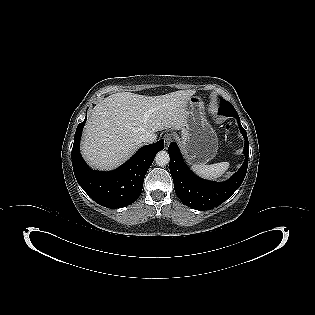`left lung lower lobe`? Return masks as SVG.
Segmentation results:
<instances>
[{
    "instance_id": "0a47b994",
    "label": "left lung lower lobe",
    "mask_w": 315,
    "mask_h": 315,
    "mask_svg": "<svg viewBox=\"0 0 315 315\" xmlns=\"http://www.w3.org/2000/svg\"><path fill=\"white\" fill-rule=\"evenodd\" d=\"M236 119L245 139L243 153L246 159L241 168L225 182H212L197 177L187 167L176 143L172 142L169 145L170 173L174 189L185 205L198 210L212 209L227 200L243 182L248 167L249 144L247 133L241 126L239 117Z\"/></svg>"
}]
</instances>
